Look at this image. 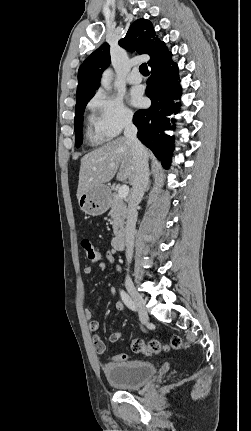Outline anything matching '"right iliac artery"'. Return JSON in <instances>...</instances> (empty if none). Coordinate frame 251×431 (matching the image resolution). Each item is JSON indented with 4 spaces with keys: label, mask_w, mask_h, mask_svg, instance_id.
Segmentation results:
<instances>
[{
    "label": "right iliac artery",
    "mask_w": 251,
    "mask_h": 431,
    "mask_svg": "<svg viewBox=\"0 0 251 431\" xmlns=\"http://www.w3.org/2000/svg\"><path fill=\"white\" fill-rule=\"evenodd\" d=\"M121 299L124 302V304L131 310L137 311V307L135 303L132 301L130 296L123 290H120Z\"/></svg>",
    "instance_id": "right-iliac-artery-1"
}]
</instances>
